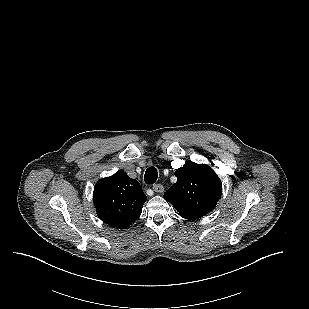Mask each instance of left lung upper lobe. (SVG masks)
Returning <instances> with one entry per match:
<instances>
[{
	"mask_svg": "<svg viewBox=\"0 0 309 309\" xmlns=\"http://www.w3.org/2000/svg\"><path fill=\"white\" fill-rule=\"evenodd\" d=\"M175 176L177 182L164 193V198L181 217L199 219L215 208L222 185L210 167L188 162L175 171Z\"/></svg>",
	"mask_w": 309,
	"mask_h": 309,
	"instance_id": "1",
	"label": "left lung upper lobe"
}]
</instances>
